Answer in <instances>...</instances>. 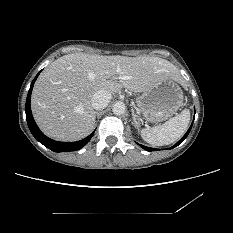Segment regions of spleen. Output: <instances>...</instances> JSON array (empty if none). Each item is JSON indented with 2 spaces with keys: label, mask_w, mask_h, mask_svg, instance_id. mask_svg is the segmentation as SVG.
Returning <instances> with one entry per match:
<instances>
[{
  "label": "spleen",
  "mask_w": 233,
  "mask_h": 233,
  "mask_svg": "<svg viewBox=\"0 0 233 233\" xmlns=\"http://www.w3.org/2000/svg\"><path fill=\"white\" fill-rule=\"evenodd\" d=\"M190 111L184 109L161 126L141 130L143 140L153 146L169 145L180 139L187 130Z\"/></svg>",
  "instance_id": "3e777b00"
}]
</instances>
